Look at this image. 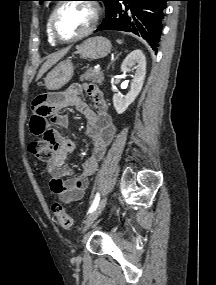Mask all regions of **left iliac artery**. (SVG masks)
<instances>
[{"mask_svg": "<svg viewBox=\"0 0 216 285\" xmlns=\"http://www.w3.org/2000/svg\"><path fill=\"white\" fill-rule=\"evenodd\" d=\"M99 200H100V196L97 193L96 196H95V199H94V201H93V203H92V205H91V207H90V209L88 211L89 213H92L96 209V207L99 204Z\"/></svg>", "mask_w": 216, "mask_h": 285, "instance_id": "1", "label": "left iliac artery"}]
</instances>
